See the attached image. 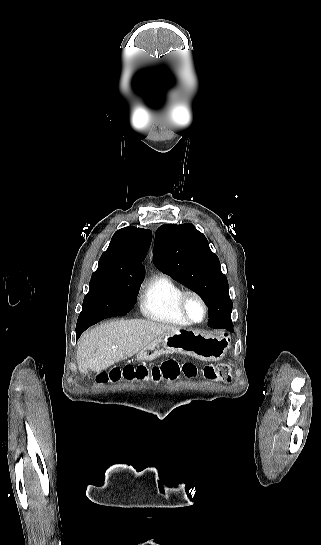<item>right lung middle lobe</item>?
Here are the masks:
<instances>
[{"instance_id":"dd1d6c3e","label":"right lung middle lobe","mask_w":321,"mask_h":545,"mask_svg":"<svg viewBox=\"0 0 321 545\" xmlns=\"http://www.w3.org/2000/svg\"><path fill=\"white\" fill-rule=\"evenodd\" d=\"M140 284L117 281L107 274L93 273L78 322L94 321L100 318L103 309L110 301L121 295H137Z\"/></svg>"}]
</instances>
